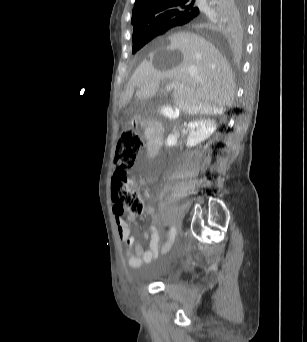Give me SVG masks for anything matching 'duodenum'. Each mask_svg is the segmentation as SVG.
Returning a JSON list of instances; mask_svg holds the SVG:
<instances>
[{"label": "duodenum", "instance_id": "1", "mask_svg": "<svg viewBox=\"0 0 307 342\" xmlns=\"http://www.w3.org/2000/svg\"><path fill=\"white\" fill-rule=\"evenodd\" d=\"M128 122L132 123L133 119L129 118ZM135 124H145L147 128H150L147 155L148 157L157 155L164 144L165 134L163 126L157 122L156 117H144L143 120H136Z\"/></svg>", "mask_w": 307, "mask_h": 342}]
</instances>
